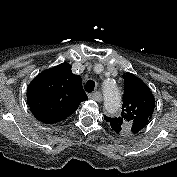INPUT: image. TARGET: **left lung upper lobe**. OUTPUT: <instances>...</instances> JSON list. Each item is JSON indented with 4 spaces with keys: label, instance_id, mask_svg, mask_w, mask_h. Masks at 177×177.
<instances>
[{
    "label": "left lung upper lobe",
    "instance_id": "left-lung-upper-lobe-1",
    "mask_svg": "<svg viewBox=\"0 0 177 177\" xmlns=\"http://www.w3.org/2000/svg\"><path fill=\"white\" fill-rule=\"evenodd\" d=\"M125 90L121 116L104 119L116 133L135 135L149 123L155 108V98L149 87L131 73L123 75Z\"/></svg>",
    "mask_w": 177,
    "mask_h": 177
}]
</instances>
